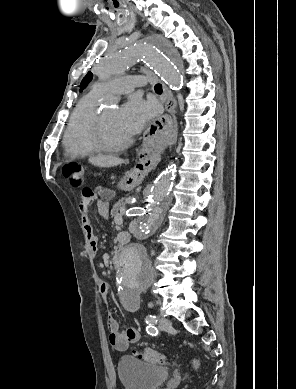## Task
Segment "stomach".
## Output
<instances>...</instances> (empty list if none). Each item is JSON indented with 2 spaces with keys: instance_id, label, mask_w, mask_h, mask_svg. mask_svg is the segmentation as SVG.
Wrapping results in <instances>:
<instances>
[{
  "instance_id": "obj_1",
  "label": "stomach",
  "mask_w": 296,
  "mask_h": 389,
  "mask_svg": "<svg viewBox=\"0 0 296 389\" xmlns=\"http://www.w3.org/2000/svg\"><path fill=\"white\" fill-rule=\"evenodd\" d=\"M152 172V169L128 168L118 187L123 190H129L134 186H138L141 181L145 180Z\"/></svg>"
}]
</instances>
